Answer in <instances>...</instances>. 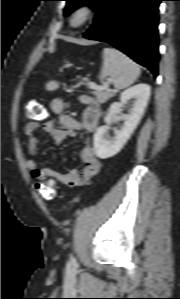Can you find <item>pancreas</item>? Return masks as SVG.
<instances>
[{
    "mask_svg": "<svg viewBox=\"0 0 180 299\" xmlns=\"http://www.w3.org/2000/svg\"><path fill=\"white\" fill-rule=\"evenodd\" d=\"M96 99L100 103L106 102L109 98H111L114 94L109 91H96L94 93Z\"/></svg>",
    "mask_w": 180,
    "mask_h": 299,
    "instance_id": "pancreas-1",
    "label": "pancreas"
}]
</instances>
